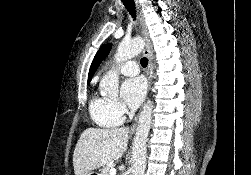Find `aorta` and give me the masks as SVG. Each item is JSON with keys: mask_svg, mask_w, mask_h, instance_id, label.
Masks as SVG:
<instances>
[{"mask_svg": "<svg viewBox=\"0 0 251 175\" xmlns=\"http://www.w3.org/2000/svg\"><path fill=\"white\" fill-rule=\"evenodd\" d=\"M144 46V40L141 38H134L130 42H121L118 46L117 54H115V60L117 64L131 60L136 54H140ZM119 78L117 72H108L106 76H103L99 89L104 95H114L116 97L119 89ZM153 101L148 99L144 103L142 111H140L138 125L136 127V133L133 141V175H144L146 167V141L149 133L150 125L152 123V111Z\"/></svg>", "mask_w": 251, "mask_h": 175, "instance_id": "aorta-1", "label": "aorta"}]
</instances>
